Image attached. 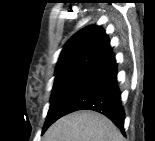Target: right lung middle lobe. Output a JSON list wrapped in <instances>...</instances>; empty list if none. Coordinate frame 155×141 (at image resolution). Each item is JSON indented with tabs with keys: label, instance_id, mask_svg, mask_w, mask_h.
<instances>
[{
	"label": "right lung middle lobe",
	"instance_id": "right-lung-middle-lobe-1",
	"mask_svg": "<svg viewBox=\"0 0 155 141\" xmlns=\"http://www.w3.org/2000/svg\"><path fill=\"white\" fill-rule=\"evenodd\" d=\"M94 72L93 70L76 69L56 75L50 99V108L42 134L60 118L62 107Z\"/></svg>",
	"mask_w": 155,
	"mask_h": 141
}]
</instances>
